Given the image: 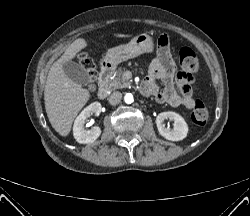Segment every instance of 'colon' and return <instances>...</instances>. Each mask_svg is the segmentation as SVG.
I'll return each mask as SVG.
<instances>
[{
	"instance_id": "obj_1",
	"label": "colon",
	"mask_w": 250,
	"mask_h": 216,
	"mask_svg": "<svg viewBox=\"0 0 250 216\" xmlns=\"http://www.w3.org/2000/svg\"><path fill=\"white\" fill-rule=\"evenodd\" d=\"M81 63L84 69L92 74L93 72V62L85 55H82ZM178 60L180 67L182 69V73L187 76H191L193 73L197 72L199 69V60L197 58L196 53L189 47H182L178 52ZM209 117L208 110L205 104L197 100L195 102V106L193 108L191 119L197 125H204Z\"/></svg>"
}]
</instances>
